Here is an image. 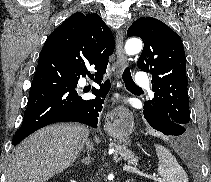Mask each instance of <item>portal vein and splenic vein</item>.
Here are the masks:
<instances>
[{"instance_id":"1","label":"portal vein and splenic vein","mask_w":211,"mask_h":182,"mask_svg":"<svg viewBox=\"0 0 211 182\" xmlns=\"http://www.w3.org/2000/svg\"><path fill=\"white\" fill-rule=\"evenodd\" d=\"M110 153L114 152V149L109 150ZM123 170L128 171V172H132V173H136L139 174L141 176H147L145 174H143L142 172H140L138 169L134 168V167H130V166H124ZM153 179L159 181V182H164L160 177H158L157 175H153Z\"/></svg>"}]
</instances>
